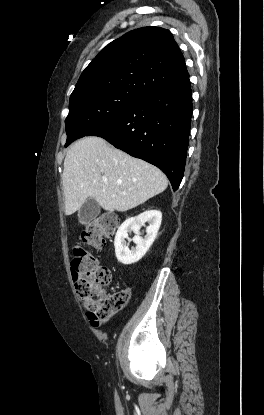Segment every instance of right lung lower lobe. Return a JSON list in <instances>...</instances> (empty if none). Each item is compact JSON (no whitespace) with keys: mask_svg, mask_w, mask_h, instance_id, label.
Returning <instances> with one entry per match:
<instances>
[{"mask_svg":"<svg viewBox=\"0 0 264 415\" xmlns=\"http://www.w3.org/2000/svg\"><path fill=\"white\" fill-rule=\"evenodd\" d=\"M189 77L142 97L87 136H99L160 168L178 189L184 174L192 117Z\"/></svg>","mask_w":264,"mask_h":415,"instance_id":"obj_1","label":"right lung lower lobe"}]
</instances>
